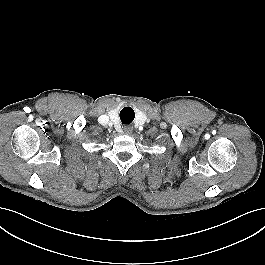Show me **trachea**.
I'll use <instances>...</instances> for the list:
<instances>
[{
	"mask_svg": "<svg viewBox=\"0 0 265 265\" xmlns=\"http://www.w3.org/2000/svg\"><path fill=\"white\" fill-rule=\"evenodd\" d=\"M129 109H130L129 107H126L123 109L124 112H122L123 110L121 111L120 115H121V120L123 123H130L132 121V116L128 112L130 111Z\"/></svg>",
	"mask_w": 265,
	"mask_h": 265,
	"instance_id": "trachea-1",
	"label": "trachea"
}]
</instances>
